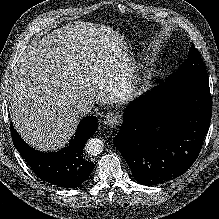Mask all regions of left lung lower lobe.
Returning a JSON list of instances; mask_svg holds the SVG:
<instances>
[{"instance_id": "1", "label": "left lung lower lobe", "mask_w": 219, "mask_h": 219, "mask_svg": "<svg viewBox=\"0 0 219 219\" xmlns=\"http://www.w3.org/2000/svg\"><path fill=\"white\" fill-rule=\"evenodd\" d=\"M211 116L209 79L173 78L127 106L113 143L138 182L157 185L194 163Z\"/></svg>"}]
</instances>
